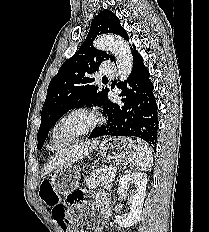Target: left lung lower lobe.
Returning a JSON list of instances; mask_svg holds the SVG:
<instances>
[{
    "label": "left lung lower lobe",
    "instance_id": "left-lung-lower-lobe-1",
    "mask_svg": "<svg viewBox=\"0 0 209 232\" xmlns=\"http://www.w3.org/2000/svg\"><path fill=\"white\" fill-rule=\"evenodd\" d=\"M133 54V68L127 81L117 83L122 90L121 104L108 101L104 110L107 123L95 128L89 138L100 136H134L148 142L153 148L157 143L158 112L153 95V85L149 72L143 64L142 56L136 51ZM155 150V148H154Z\"/></svg>",
    "mask_w": 209,
    "mask_h": 232
}]
</instances>
